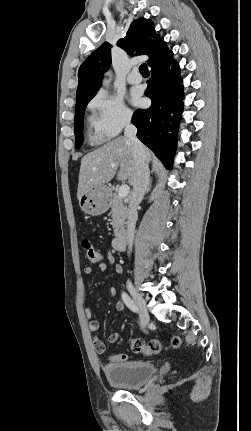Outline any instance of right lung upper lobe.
Listing matches in <instances>:
<instances>
[{
  "label": "right lung upper lobe",
  "instance_id": "1",
  "mask_svg": "<svg viewBox=\"0 0 251 431\" xmlns=\"http://www.w3.org/2000/svg\"><path fill=\"white\" fill-rule=\"evenodd\" d=\"M117 45L131 54H147L150 67L165 62L172 55L163 38L156 34L153 22L145 18L135 20ZM110 50L111 45L103 43L80 66L76 98L96 93L100 88L103 73L111 64Z\"/></svg>",
  "mask_w": 251,
  "mask_h": 431
}]
</instances>
